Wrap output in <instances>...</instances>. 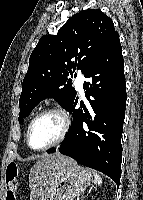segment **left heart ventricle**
<instances>
[{"label": "left heart ventricle", "instance_id": "1", "mask_svg": "<svg viewBox=\"0 0 143 200\" xmlns=\"http://www.w3.org/2000/svg\"><path fill=\"white\" fill-rule=\"evenodd\" d=\"M62 128L63 122L58 115H45L33 124L30 131V144L34 148L44 147L59 137Z\"/></svg>", "mask_w": 143, "mask_h": 200}]
</instances>
